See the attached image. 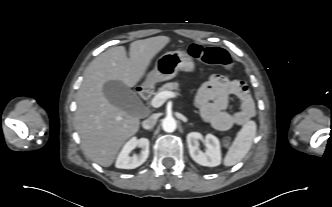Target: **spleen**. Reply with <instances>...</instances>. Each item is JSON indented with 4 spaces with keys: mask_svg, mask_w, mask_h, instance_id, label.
Returning a JSON list of instances; mask_svg holds the SVG:
<instances>
[{
    "mask_svg": "<svg viewBox=\"0 0 332 207\" xmlns=\"http://www.w3.org/2000/svg\"><path fill=\"white\" fill-rule=\"evenodd\" d=\"M256 136V123L248 121L238 133L230 146L225 158L224 165L232 166L240 162L249 152L253 139Z\"/></svg>",
    "mask_w": 332,
    "mask_h": 207,
    "instance_id": "1",
    "label": "spleen"
}]
</instances>
